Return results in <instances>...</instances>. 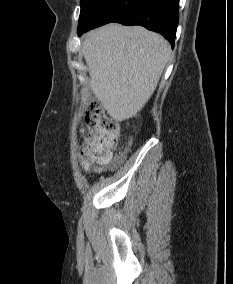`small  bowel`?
I'll list each match as a JSON object with an SVG mask.
<instances>
[{"instance_id": "1", "label": "small bowel", "mask_w": 233, "mask_h": 284, "mask_svg": "<svg viewBox=\"0 0 233 284\" xmlns=\"http://www.w3.org/2000/svg\"><path fill=\"white\" fill-rule=\"evenodd\" d=\"M91 165L86 163L85 161L82 160V167L84 170H87Z\"/></svg>"}]
</instances>
